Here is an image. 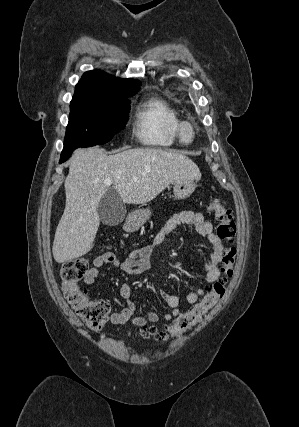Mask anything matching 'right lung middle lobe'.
I'll use <instances>...</instances> for the list:
<instances>
[{
  "instance_id": "dd1d6c3e",
  "label": "right lung middle lobe",
  "mask_w": 299,
  "mask_h": 427,
  "mask_svg": "<svg viewBox=\"0 0 299 427\" xmlns=\"http://www.w3.org/2000/svg\"><path fill=\"white\" fill-rule=\"evenodd\" d=\"M128 98L71 101L62 153L110 141L126 125L130 111Z\"/></svg>"
}]
</instances>
